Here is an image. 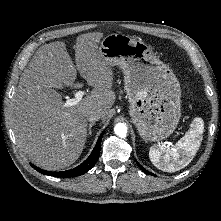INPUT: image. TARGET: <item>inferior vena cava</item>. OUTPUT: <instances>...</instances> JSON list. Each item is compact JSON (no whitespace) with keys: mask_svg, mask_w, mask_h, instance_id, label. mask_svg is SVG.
<instances>
[{"mask_svg":"<svg viewBox=\"0 0 221 221\" xmlns=\"http://www.w3.org/2000/svg\"><path fill=\"white\" fill-rule=\"evenodd\" d=\"M86 118L90 122L98 121L101 118V113L97 110H91L86 113Z\"/></svg>","mask_w":221,"mask_h":221,"instance_id":"602c4592","label":"inferior vena cava"}]
</instances>
